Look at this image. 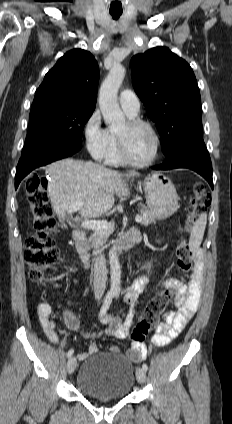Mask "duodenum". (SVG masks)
Segmentation results:
<instances>
[{
    "label": "duodenum",
    "instance_id": "obj_1",
    "mask_svg": "<svg viewBox=\"0 0 232 424\" xmlns=\"http://www.w3.org/2000/svg\"><path fill=\"white\" fill-rule=\"evenodd\" d=\"M73 240L76 245L77 252L79 257L86 268L90 267L91 259L90 253L88 251L86 241H85V232L83 230H74L73 231ZM140 240V235L136 231L122 236L116 243L115 251L121 252L133 247Z\"/></svg>",
    "mask_w": 232,
    "mask_h": 424
}]
</instances>
